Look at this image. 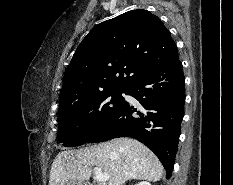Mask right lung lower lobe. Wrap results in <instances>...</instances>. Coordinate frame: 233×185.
<instances>
[{
    "mask_svg": "<svg viewBox=\"0 0 233 185\" xmlns=\"http://www.w3.org/2000/svg\"><path fill=\"white\" fill-rule=\"evenodd\" d=\"M126 94L134 97L139 105L125 101L86 142L134 137L157 155L169 179L185 103V77L179 58L141 76L128 87Z\"/></svg>",
    "mask_w": 233,
    "mask_h": 185,
    "instance_id": "obj_1",
    "label": "right lung lower lobe"
}]
</instances>
